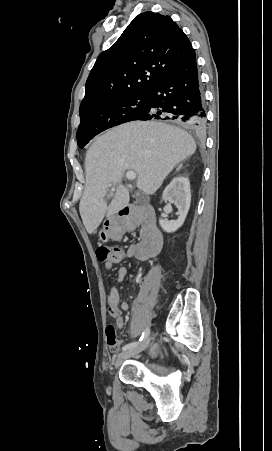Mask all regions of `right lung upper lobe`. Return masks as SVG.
<instances>
[{"instance_id": "1", "label": "right lung upper lobe", "mask_w": 272, "mask_h": 451, "mask_svg": "<svg viewBox=\"0 0 272 451\" xmlns=\"http://www.w3.org/2000/svg\"><path fill=\"white\" fill-rule=\"evenodd\" d=\"M193 52L189 39L169 16L141 13L98 56L79 113L109 100L148 94Z\"/></svg>"}]
</instances>
